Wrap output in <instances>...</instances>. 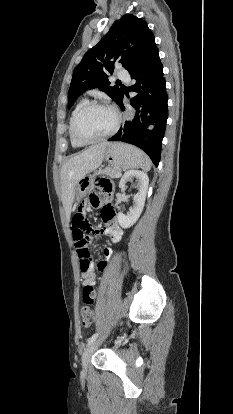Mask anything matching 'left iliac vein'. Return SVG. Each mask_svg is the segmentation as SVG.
Masks as SVG:
<instances>
[{"mask_svg": "<svg viewBox=\"0 0 233 414\" xmlns=\"http://www.w3.org/2000/svg\"><path fill=\"white\" fill-rule=\"evenodd\" d=\"M101 341L97 340L93 343H91L88 348L85 350L83 356H82V366H83V372L86 373L87 369H88V364L90 361V358L92 356V354L94 353V351L98 348V346L100 345Z\"/></svg>", "mask_w": 233, "mask_h": 414, "instance_id": "left-iliac-vein-1", "label": "left iliac vein"}]
</instances>
